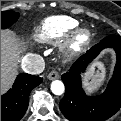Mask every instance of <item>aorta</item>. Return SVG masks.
<instances>
[{"label": "aorta", "instance_id": "762f6f07", "mask_svg": "<svg viewBox=\"0 0 121 121\" xmlns=\"http://www.w3.org/2000/svg\"><path fill=\"white\" fill-rule=\"evenodd\" d=\"M65 87L62 81L55 80L51 83V91L55 95H62L64 93Z\"/></svg>", "mask_w": 121, "mask_h": 121}]
</instances>
